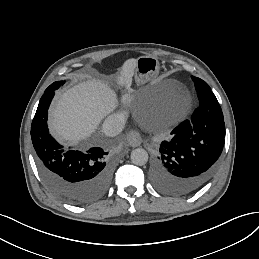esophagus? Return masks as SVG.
I'll use <instances>...</instances> for the list:
<instances>
[{"label":"esophagus","instance_id":"34e87169","mask_svg":"<svg viewBox=\"0 0 259 259\" xmlns=\"http://www.w3.org/2000/svg\"><path fill=\"white\" fill-rule=\"evenodd\" d=\"M127 141H128L130 146L138 147L142 143V138H141V135L138 131L131 130L127 134Z\"/></svg>","mask_w":259,"mask_h":259}]
</instances>
